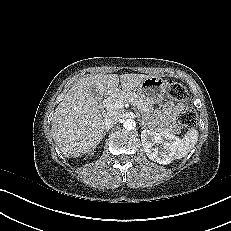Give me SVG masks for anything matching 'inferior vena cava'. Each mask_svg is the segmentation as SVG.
Returning a JSON list of instances; mask_svg holds the SVG:
<instances>
[{
    "instance_id": "602c4592",
    "label": "inferior vena cava",
    "mask_w": 231,
    "mask_h": 231,
    "mask_svg": "<svg viewBox=\"0 0 231 231\" xmlns=\"http://www.w3.org/2000/svg\"><path fill=\"white\" fill-rule=\"evenodd\" d=\"M118 122L117 116L109 115L104 119V128L111 129Z\"/></svg>"
}]
</instances>
